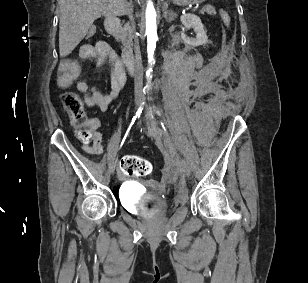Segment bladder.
<instances>
[{
    "instance_id": "bladder-1",
    "label": "bladder",
    "mask_w": 308,
    "mask_h": 283,
    "mask_svg": "<svg viewBox=\"0 0 308 283\" xmlns=\"http://www.w3.org/2000/svg\"><path fill=\"white\" fill-rule=\"evenodd\" d=\"M123 185H124V183L121 185V187H123V193H124L125 195H126V194L128 195V193H129V188L126 187V186L124 187Z\"/></svg>"
}]
</instances>
